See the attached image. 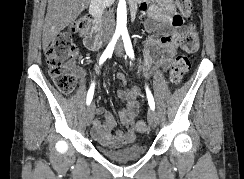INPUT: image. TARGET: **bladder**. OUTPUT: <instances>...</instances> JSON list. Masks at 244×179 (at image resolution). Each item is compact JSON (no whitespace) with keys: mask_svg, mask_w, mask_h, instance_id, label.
Segmentation results:
<instances>
[{"mask_svg":"<svg viewBox=\"0 0 244 179\" xmlns=\"http://www.w3.org/2000/svg\"><path fill=\"white\" fill-rule=\"evenodd\" d=\"M102 154L113 160H133L145 155L147 147L140 143H133L124 148L112 151L99 146Z\"/></svg>","mask_w":244,"mask_h":179,"instance_id":"obj_1","label":"bladder"}]
</instances>
